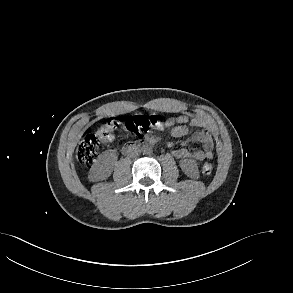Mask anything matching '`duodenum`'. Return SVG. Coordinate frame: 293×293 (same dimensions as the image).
Masks as SVG:
<instances>
[{
	"mask_svg": "<svg viewBox=\"0 0 293 293\" xmlns=\"http://www.w3.org/2000/svg\"><path fill=\"white\" fill-rule=\"evenodd\" d=\"M152 144H154L153 138H148L146 140H141L138 142H129V143H126L122 147V153L125 155H128V154H131L136 149L142 148L146 145H152Z\"/></svg>",
	"mask_w": 293,
	"mask_h": 293,
	"instance_id": "1",
	"label": "duodenum"
}]
</instances>
